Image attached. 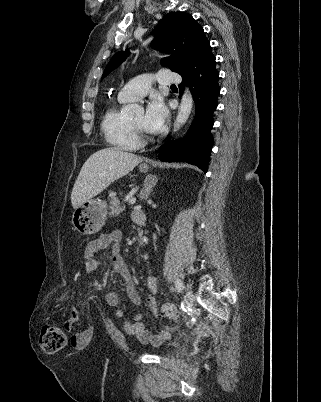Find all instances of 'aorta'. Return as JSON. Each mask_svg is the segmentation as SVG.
<instances>
[{"label":"aorta","instance_id":"aorta-1","mask_svg":"<svg viewBox=\"0 0 321 402\" xmlns=\"http://www.w3.org/2000/svg\"><path fill=\"white\" fill-rule=\"evenodd\" d=\"M193 107V97L188 89L183 93L178 113L176 116V121L174 123V131H178L188 120ZM138 105H127L124 107V111L129 113H134L139 110Z\"/></svg>","mask_w":321,"mask_h":402}]
</instances>
